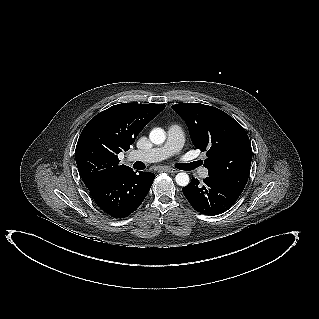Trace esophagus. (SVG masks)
<instances>
[{"instance_id": "1", "label": "esophagus", "mask_w": 319, "mask_h": 319, "mask_svg": "<svg viewBox=\"0 0 319 319\" xmlns=\"http://www.w3.org/2000/svg\"><path fill=\"white\" fill-rule=\"evenodd\" d=\"M165 171L168 172V173H172V174L178 172V170H177V169H174V168H166Z\"/></svg>"}]
</instances>
